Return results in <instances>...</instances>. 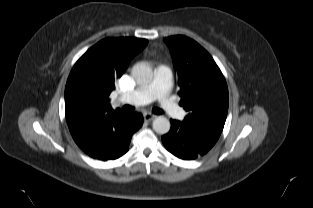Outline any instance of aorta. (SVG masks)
<instances>
[{
  "label": "aorta",
  "mask_w": 313,
  "mask_h": 208,
  "mask_svg": "<svg viewBox=\"0 0 313 208\" xmlns=\"http://www.w3.org/2000/svg\"><path fill=\"white\" fill-rule=\"evenodd\" d=\"M131 74L135 81L140 85L149 84L153 79L152 68L144 63L140 62L133 66ZM170 121L164 116H158L153 120V130L158 134H166L170 130Z\"/></svg>",
  "instance_id": "obj_1"
}]
</instances>
